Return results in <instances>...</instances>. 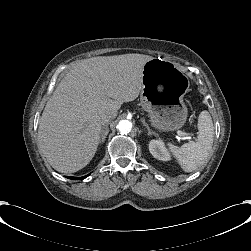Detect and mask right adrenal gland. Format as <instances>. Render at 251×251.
Wrapping results in <instances>:
<instances>
[{"instance_id": "obj_1", "label": "right adrenal gland", "mask_w": 251, "mask_h": 251, "mask_svg": "<svg viewBox=\"0 0 251 251\" xmlns=\"http://www.w3.org/2000/svg\"><path fill=\"white\" fill-rule=\"evenodd\" d=\"M109 133V128H108V125L105 124L101 127V130H100V135H99V142H104L105 141V138L107 137Z\"/></svg>"}]
</instances>
